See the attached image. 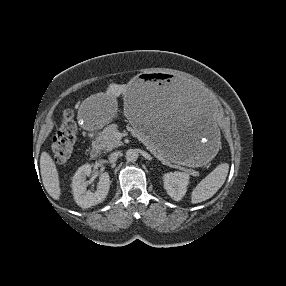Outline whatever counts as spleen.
<instances>
[{
    "label": "spleen",
    "instance_id": "1",
    "mask_svg": "<svg viewBox=\"0 0 286 286\" xmlns=\"http://www.w3.org/2000/svg\"><path fill=\"white\" fill-rule=\"evenodd\" d=\"M228 171L229 164H219L193 189L191 193V203L196 204L211 198L224 184Z\"/></svg>",
    "mask_w": 286,
    "mask_h": 286
}]
</instances>
